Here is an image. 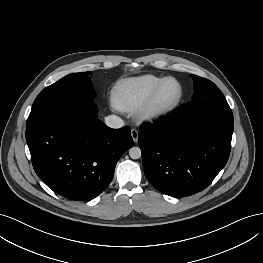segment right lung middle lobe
Masks as SVG:
<instances>
[{
  "instance_id": "dd1d6c3e",
  "label": "right lung middle lobe",
  "mask_w": 263,
  "mask_h": 263,
  "mask_svg": "<svg viewBox=\"0 0 263 263\" xmlns=\"http://www.w3.org/2000/svg\"><path fill=\"white\" fill-rule=\"evenodd\" d=\"M91 72L67 75L43 89L35 99L26 128L42 121L49 114L66 109L72 113L80 111L86 99L95 97Z\"/></svg>"
}]
</instances>
